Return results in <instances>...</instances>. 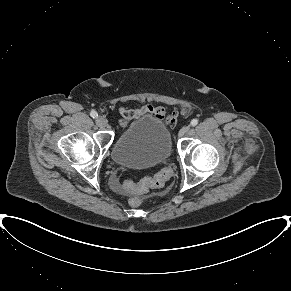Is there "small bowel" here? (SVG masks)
<instances>
[{
  "mask_svg": "<svg viewBox=\"0 0 291 291\" xmlns=\"http://www.w3.org/2000/svg\"><path fill=\"white\" fill-rule=\"evenodd\" d=\"M144 114H150L156 118L163 119L170 126H173L176 123L177 118H178L177 111H173L169 113L163 107L145 105V106H142L140 108H135V109L120 108L119 109L120 124L123 127H125L130 121Z\"/></svg>",
  "mask_w": 291,
  "mask_h": 291,
  "instance_id": "1",
  "label": "small bowel"
}]
</instances>
